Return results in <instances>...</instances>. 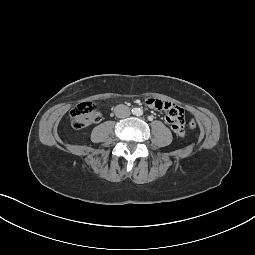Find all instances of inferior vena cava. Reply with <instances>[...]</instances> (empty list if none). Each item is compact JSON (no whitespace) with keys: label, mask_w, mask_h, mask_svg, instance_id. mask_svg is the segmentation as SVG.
<instances>
[{"label":"inferior vena cava","mask_w":255,"mask_h":255,"mask_svg":"<svg viewBox=\"0 0 255 255\" xmlns=\"http://www.w3.org/2000/svg\"><path fill=\"white\" fill-rule=\"evenodd\" d=\"M115 115L118 118H125L128 117L130 115V109L128 106L123 105V104H119L115 107Z\"/></svg>","instance_id":"1"}]
</instances>
